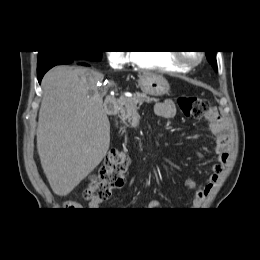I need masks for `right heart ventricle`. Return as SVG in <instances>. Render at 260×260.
<instances>
[{"label":"right heart ventricle","instance_id":"e07e8e85","mask_svg":"<svg viewBox=\"0 0 260 260\" xmlns=\"http://www.w3.org/2000/svg\"><path fill=\"white\" fill-rule=\"evenodd\" d=\"M132 62L139 68L168 73H184L186 67L178 65L170 53L165 51H134Z\"/></svg>","mask_w":260,"mask_h":260}]
</instances>
